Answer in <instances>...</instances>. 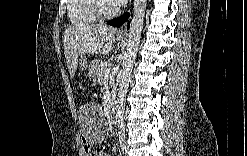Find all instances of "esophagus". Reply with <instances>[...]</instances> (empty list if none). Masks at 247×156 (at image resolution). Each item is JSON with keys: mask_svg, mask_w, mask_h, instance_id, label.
Masks as SVG:
<instances>
[{"mask_svg": "<svg viewBox=\"0 0 247 156\" xmlns=\"http://www.w3.org/2000/svg\"><path fill=\"white\" fill-rule=\"evenodd\" d=\"M127 31V24L124 23L123 25H121L118 29V33H126Z\"/></svg>", "mask_w": 247, "mask_h": 156, "instance_id": "esophagus-1", "label": "esophagus"}]
</instances>
